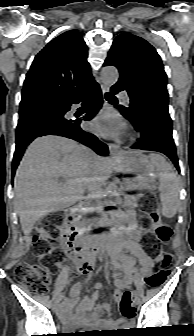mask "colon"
I'll return each mask as SVG.
<instances>
[{
    "label": "colon",
    "mask_w": 194,
    "mask_h": 336,
    "mask_svg": "<svg viewBox=\"0 0 194 336\" xmlns=\"http://www.w3.org/2000/svg\"><path fill=\"white\" fill-rule=\"evenodd\" d=\"M143 210L142 222L151 228L144 237V246L151 257L160 260V268L146 276L145 282L149 287H157L164 282L170 273L173 257L162 249V245L171 239L172 229L161 221L154 202L146 201L143 204ZM59 220L60 215H50L42 219L32 238L35 253L41 257L51 256L56 262L61 258L55 246ZM14 277L32 292L44 294L48 291L49 273L45 266L20 262L14 269ZM124 297L129 299V294L126 293Z\"/></svg>",
    "instance_id": "obj_1"
}]
</instances>
